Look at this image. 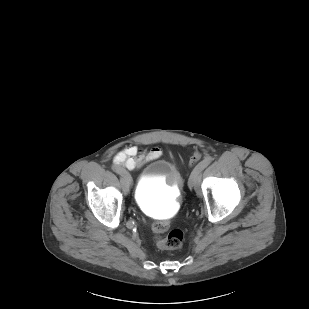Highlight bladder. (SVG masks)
<instances>
[{"label":"bladder","instance_id":"1","mask_svg":"<svg viewBox=\"0 0 309 309\" xmlns=\"http://www.w3.org/2000/svg\"><path fill=\"white\" fill-rule=\"evenodd\" d=\"M183 185L181 173L171 161L156 158L144 166L135 188L138 207L148 214L168 219L178 207Z\"/></svg>","mask_w":309,"mask_h":309}]
</instances>
